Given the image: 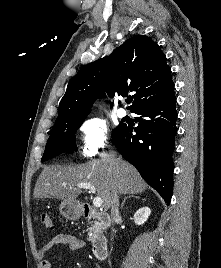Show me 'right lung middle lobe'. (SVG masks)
Masks as SVG:
<instances>
[{
  "instance_id": "obj_1",
  "label": "right lung middle lobe",
  "mask_w": 221,
  "mask_h": 268,
  "mask_svg": "<svg viewBox=\"0 0 221 268\" xmlns=\"http://www.w3.org/2000/svg\"><path fill=\"white\" fill-rule=\"evenodd\" d=\"M85 118L86 116L65 121H56L47 141L42 161L49 160L63 152L76 151L75 133Z\"/></svg>"
}]
</instances>
